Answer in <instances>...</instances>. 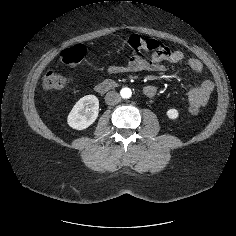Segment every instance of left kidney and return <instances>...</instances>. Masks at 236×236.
I'll use <instances>...</instances> for the list:
<instances>
[{"label": "left kidney", "instance_id": "obj_1", "mask_svg": "<svg viewBox=\"0 0 236 236\" xmlns=\"http://www.w3.org/2000/svg\"><path fill=\"white\" fill-rule=\"evenodd\" d=\"M166 115L169 119L175 120L179 117V112L175 108H171L166 112Z\"/></svg>", "mask_w": 236, "mask_h": 236}]
</instances>
